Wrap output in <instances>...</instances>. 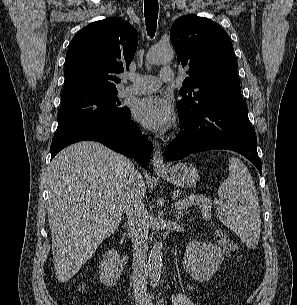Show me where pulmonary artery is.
Returning a JSON list of instances; mask_svg holds the SVG:
<instances>
[{
	"mask_svg": "<svg viewBox=\"0 0 297 305\" xmlns=\"http://www.w3.org/2000/svg\"><path fill=\"white\" fill-rule=\"evenodd\" d=\"M126 80L132 82L131 85L124 89V93L128 95H139L151 93L159 89L162 83L174 81V72L171 69H162L159 77L142 75V74H127Z\"/></svg>",
	"mask_w": 297,
	"mask_h": 305,
	"instance_id": "e3ab8cb5",
	"label": "pulmonary artery"
}]
</instances>
